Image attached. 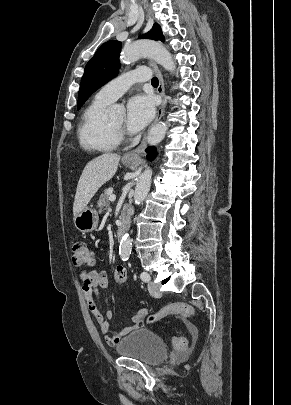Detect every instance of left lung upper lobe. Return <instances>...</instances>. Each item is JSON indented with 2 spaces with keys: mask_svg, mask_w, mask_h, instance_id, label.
I'll list each match as a JSON object with an SVG mask.
<instances>
[{
  "mask_svg": "<svg viewBox=\"0 0 291 405\" xmlns=\"http://www.w3.org/2000/svg\"><path fill=\"white\" fill-rule=\"evenodd\" d=\"M140 38L164 41L161 28L157 23ZM120 51L121 42L108 41L100 46L93 58L87 63L80 83L78 110L94 91L117 75L120 67L118 60Z\"/></svg>",
  "mask_w": 291,
  "mask_h": 405,
  "instance_id": "left-lung-upper-lobe-1",
  "label": "left lung upper lobe"
}]
</instances>
